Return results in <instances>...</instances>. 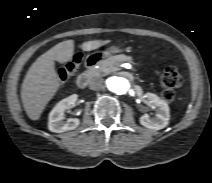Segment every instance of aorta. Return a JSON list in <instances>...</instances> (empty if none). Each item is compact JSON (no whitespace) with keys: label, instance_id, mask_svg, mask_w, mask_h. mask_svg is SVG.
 <instances>
[{"label":"aorta","instance_id":"1","mask_svg":"<svg viewBox=\"0 0 212 183\" xmlns=\"http://www.w3.org/2000/svg\"><path fill=\"white\" fill-rule=\"evenodd\" d=\"M107 88L117 94L124 95L130 91V81L126 77L113 76L106 80Z\"/></svg>","mask_w":212,"mask_h":183}]
</instances>
